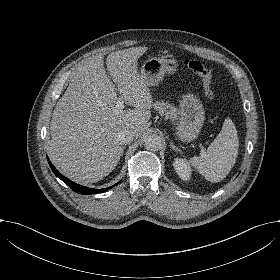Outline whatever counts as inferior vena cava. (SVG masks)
<instances>
[{
  "label": "inferior vena cava",
  "mask_w": 280,
  "mask_h": 280,
  "mask_svg": "<svg viewBox=\"0 0 280 280\" xmlns=\"http://www.w3.org/2000/svg\"><path fill=\"white\" fill-rule=\"evenodd\" d=\"M134 137V132H131L129 130H122L117 133L116 140L119 141L121 144H129L133 141Z\"/></svg>",
  "instance_id": "602c4592"
}]
</instances>
